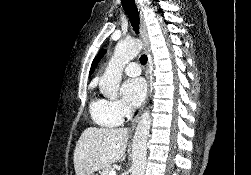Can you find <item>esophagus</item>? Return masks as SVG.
Listing matches in <instances>:
<instances>
[{
    "label": "esophagus",
    "instance_id": "34e87169",
    "mask_svg": "<svg viewBox=\"0 0 251 175\" xmlns=\"http://www.w3.org/2000/svg\"><path fill=\"white\" fill-rule=\"evenodd\" d=\"M140 28H141V39H142V49L144 53L149 54L150 52V43H149V38H148V32L147 28L145 25L144 17L142 12H140ZM146 80H147V89L148 91L150 90V75H149V67H147L146 71ZM141 111L137 114V116L134 118L133 123H132V129L135 128L139 116H140Z\"/></svg>",
    "mask_w": 251,
    "mask_h": 175
}]
</instances>
